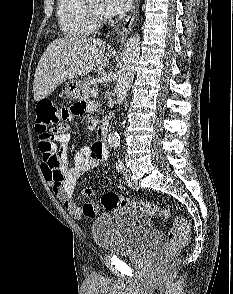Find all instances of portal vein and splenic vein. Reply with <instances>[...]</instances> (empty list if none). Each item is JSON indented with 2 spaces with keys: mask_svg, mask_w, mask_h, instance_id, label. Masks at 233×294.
<instances>
[{
  "mask_svg": "<svg viewBox=\"0 0 233 294\" xmlns=\"http://www.w3.org/2000/svg\"><path fill=\"white\" fill-rule=\"evenodd\" d=\"M90 93L93 95V96H96L98 94V90L96 88H92L90 90Z\"/></svg>",
  "mask_w": 233,
  "mask_h": 294,
  "instance_id": "obj_1",
  "label": "portal vein and splenic vein"
}]
</instances>
